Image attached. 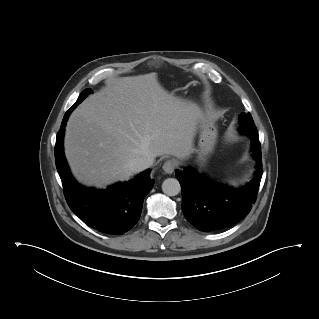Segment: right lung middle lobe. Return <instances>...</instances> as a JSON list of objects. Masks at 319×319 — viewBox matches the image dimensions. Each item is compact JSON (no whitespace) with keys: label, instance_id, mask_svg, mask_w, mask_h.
Segmentation results:
<instances>
[{"label":"right lung middle lobe","instance_id":"obj_1","mask_svg":"<svg viewBox=\"0 0 319 319\" xmlns=\"http://www.w3.org/2000/svg\"><path fill=\"white\" fill-rule=\"evenodd\" d=\"M91 93V89H86V90H84L81 94H80V96H79V98H78V100H77V104H79L87 95H89Z\"/></svg>","mask_w":319,"mask_h":319}]
</instances>
